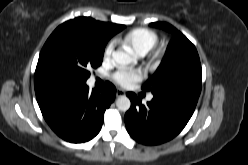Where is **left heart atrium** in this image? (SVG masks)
<instances>
[{"label":"left heart atrium","instance_id":"39dd6f15","mask_svg":"<svg viewBox=\"0 0 248 165\" xmlns=\"http://www.w3.org/2000/svg\"><path fill=\"white\" fill-rule=\"evenodd\" d=\"M144 77V73L140 69L121 68L113 76L114 81L124 87L131 88L140 82Z\"/></svg>","mask_w":248,"mask_h":165}]
</instances>
